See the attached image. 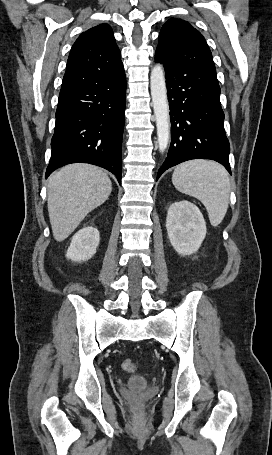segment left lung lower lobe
Masks as SVG:
<instances>
[{
    "label": "left lung lower lobe",
    "instance_id": "left-lung-lower-lobe-1",
    "mask_svg": "<svg viewBox=\"0 0 272 455\" xmlns=\"http://www.w3.org/2000/svg\"><path fill=\"white\" fill-rule=\"evenodd\" d=\"M155 60L160 62L157 56ZM165 72L171 144L157 180L168 168L191 159L215 160L231 174L216 71L186 66L165 67Z\"/></svg>",
    "mask_w": 272,
    "mask_h": 455
}]
</instances>
